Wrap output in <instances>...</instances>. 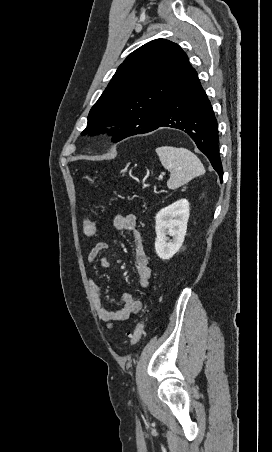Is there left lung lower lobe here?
<instances>
[{"mask_svg": "<svg viewBox=\"0 0 272 452\" xmlns=\"http://www.w3.org/2000/svg\"><path fill=\"white\" fill-rule=\"evenodd\" d=\"M164 126L186 132L198 149L208 157L222 182L223 169L218 151L217 120L194 68L167 99L158 120L149 128L135 131L129 136L147 133Z\"/></svg>", "mask_w": 272, "mask_h": 452, "instance_id": "1", "label": "left lung lower lobe"}]
</instances>
